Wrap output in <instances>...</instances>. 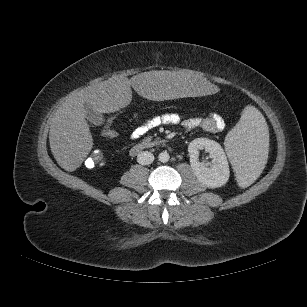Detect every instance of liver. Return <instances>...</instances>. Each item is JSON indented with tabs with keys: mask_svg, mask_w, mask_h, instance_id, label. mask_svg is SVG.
Masks as SVG:
<instances>
[{
	"mask_svg": "<svg viewBox=\"0 0 307 307\" xmlns=\"http://www.w3.org/2000/svg\"><path fill=\"white\" fill-rule=\"evenodd\" d=\"M131 86L144 98L167 100L178 97L213 96L212 82L192 71H150L131 79L110 78L72 93L51 118L49 143L60 167L72 172L79 168L93 147L86 121V106L99 113H111L127 106L132 99Z\"/></svg>",
	"mask_w": 307,
	"mask_h": 307,
	"instance_id": "6515ba94",
	"label": "liver"
}]
</instances>
